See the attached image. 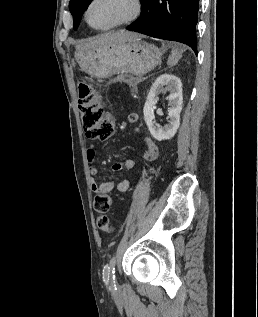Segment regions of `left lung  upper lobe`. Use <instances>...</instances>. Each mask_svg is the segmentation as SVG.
Returning a JSON list of instances; mask_svg holds the SVG:
<instances>
[{
  "instance_id": "obj_1",
  "label": "left lung upper lobe",
  "mask_w": 258,
  "mask_h": 317,
  "mask_svg": "<svg viewBox=\"0 0 258 317\" xmlns=\"http://www.w3.org/2000/svg\"><path fill=\"white\" fill-rule=\"evenodd\" d=\"M91 2L92 0H70L69 9L73 16L74 29L78 28L83 12L87 9ZM143 2L144 0H141V3Z\"/></svg>"
}]
</instances>
